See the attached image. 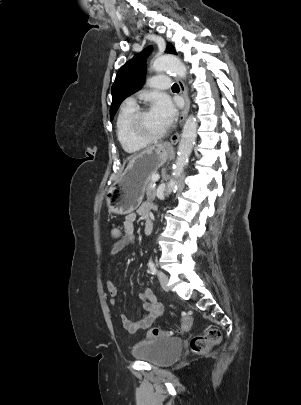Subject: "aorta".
<instances>
[{"label":"aorta","instance_id":"1","mask_svg":"<svg viewBox=\"0 0 301 405\" xmlns=\"http://www.w3.org/2000/svg\"><path fill=\"white\" fill-rule=\"evenodd\" d=\"M152 68L156 72H171L181 78L186 77V67L176 56L165 55L153 61ZM197 121L193 115H189L181 134L178 146V156L173 168L172 178L167 184L165 196H168L176 187L177 179L181 176L192 152L197 137Z\"/></svg>","mask_w":301,"mask_h":405}]
</instances>
